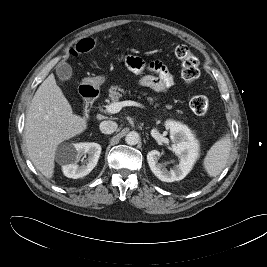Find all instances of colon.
Segmentation results:
<instances>
[{"label":"colon","instance_id":"colon-1","mask_svg":"<svg viewBox=\"0 0 267 267\" xmlns=\"http://www.w3.org/2000/svg\"><path fill=\"white\" fill-rule=\"evenodd\" d=\"M97 43L94 39L85 38L77 43L71 53L79 55L93 50ZM175 55L181 63V76L186 83H193L199 77V61L184 45H178L175 48ZM191 110L196 115H204L209 110V99L205 95H195L190 101Z\"/></svg>","mask_w":267,"mask_h":267}]
</instances>
